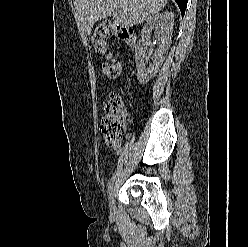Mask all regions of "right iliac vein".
<instances>
[{
    "label": "right iliac vein",
    "instance_id": "63e3f726",
    "mask_svg": "<svg viewBox=\"0 0 248 247\" xmlns=\"http://www.w3.org/2000/svg\"><path fill=\"white\" fill-rule=\"evenodd\" d=\"M114 194H115V187L112 188L109 194V202H110L111 211H113L114 209Z\"/></svg>",
    "mask_w": 248,
    "mask_h": 247
}]
</instances>
